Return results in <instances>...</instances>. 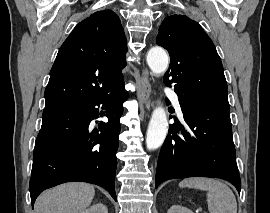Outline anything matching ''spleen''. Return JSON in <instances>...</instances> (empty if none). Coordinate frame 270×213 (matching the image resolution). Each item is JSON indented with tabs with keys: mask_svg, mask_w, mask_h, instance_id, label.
<instances>
[{
	"mask_svg": "<svg viewBox=\"0 0 270 213\" xmlns=\"http://www.w3.org/2000/svg\"><path fill=\"white\" fill-rule=\"evenodd\" d=\"M180 188H195L207 191L209 213H237V202L232 190L223 182L204 177L186 178Z\"/></svg>",
	"mask_w": 270,
	"mask_h": 213,
	"instance_id": "obj_1",
	"label": "spleen"
}]
</instances>
